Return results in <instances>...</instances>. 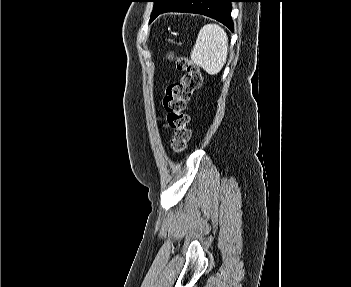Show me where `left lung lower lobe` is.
Instances as JSON below:
<instances>
[{
  "instance_id": "obj_1",
  "label": "left lung lower lobe",
  "mask_w": 351,
  "mask_h": 287,
  "mask_svg": "<svg viewBox=\"0 0 351 287\" xmlns=\"http://www.w3.org/2000/svg\"><path fill=\"white\" fill-rule=\"evenodd\" d=\"M234 1L235 0H173L164 9L159 11L152 20L165 12L196 13L216 19L233 31L230 3Z\"/></svg>"
}]
</instances>
